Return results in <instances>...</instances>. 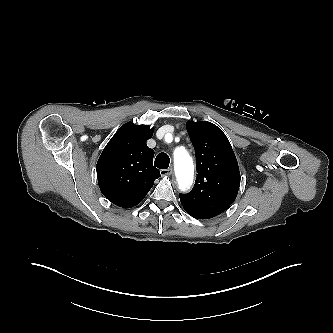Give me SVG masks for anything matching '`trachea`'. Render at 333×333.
<instances>
[{
    "instance_id": "obj_1",
    "label": "trachea",
    "mask_w": 333,
    "mask_h": 333,
    "mask_svg": "<svg viewBox=\"0 0 333 333\" xmlns=\"http://www.w3.org/2000/svg\"><path fill=\"white\" fill-rule=\"evenodd\" d=\"M170 158L166 153H160L155 158L154 165L159 169H167L169 167Z\"/></svg>"
}]
</instances>
